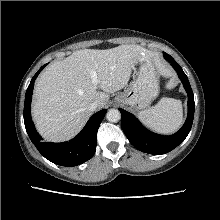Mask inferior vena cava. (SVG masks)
<instances>
[{"label":"inferior vena cava","instance_id":"1","mask_svg":"<svg viewBox=\"0 0 220 220\" xmlns=\"http://www.w3.org/2000/svg\"><path fill=\"white\" fill-rule=\"evenodd\" d=\"M98 108V103L97 102H93L88 106V109L90 111H95Z\"/></svg>","mask_w":220,"mask_h":220}]
</instances>
